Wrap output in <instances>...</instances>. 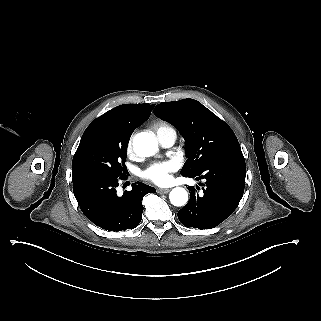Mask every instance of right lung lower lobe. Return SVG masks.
I'll return each mask as SVG.
<instances>
[{"mask_svg":"<svg viewBox=\"0 0 321 321\" xmlns=\"http://www.w3.org/2000/svg\"><path fill=\"white\" fill-rule=\"evenodd\" d=\"M119 179L94 171L73 172V192L84 215L108 231L134 229L142 219V199L155 188L142 182L132 185L121 197L116 194Z\"/></svg>","mask_w":321,"mask_h":321,"instance_id":"1","label":"right lung lower lobe"}]
</instances>
